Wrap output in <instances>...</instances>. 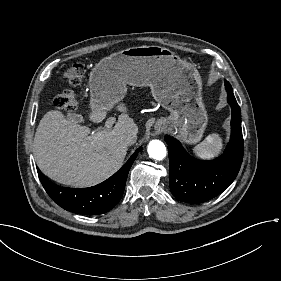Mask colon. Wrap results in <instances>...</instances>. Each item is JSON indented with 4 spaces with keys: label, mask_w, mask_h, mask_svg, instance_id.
Returning <instances> with one entry per match:
<instances>
[{
    "label": "colon",
    "mask_w": 281,
    "mask_h": 281,
    "mask_svg": "<svg viewBox=\"0 0 281 281\" xmlns=\"http://www.w3.org/2000/svg\"><path fill=\"white\" fill-rule=\"evenodd\" d=\"M84 73V64L82 62H74L65 69L63 78L67 83L76 84L83 77ZM55 104L58 110L73 112L78 106V101L73 92L63 91L56 97Z\"/></svg>",
    "instance_id": "5ec220e1"
}]
</instances>
